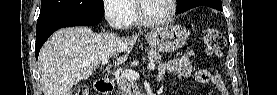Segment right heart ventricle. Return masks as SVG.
<instances>
[{
    "label": "right heart ventricle",
    "mask_w": 277,
    "mask_h": 95,
    "mask_svg": "<svg viewBox=\"0 0 277 95\" xmlns=\"http://www.w3.org/2000/svg\"><path fill=\"white\" fill-rule=\"evenodd\" d=\"M126 6L129 9V16H128L127 20H126V24H128V25L137 24L138 23V19H137L135 13L132 12L131 9H130L131 8L130 1H126Z\"/></svg>",
    "instance_id": "1"
}]
</instances>
